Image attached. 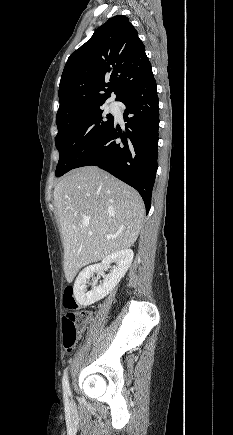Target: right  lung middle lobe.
<instances>
[{"label":"right lung middle lobe","instance_id":"dd1d6c3e","mask_svg":"<svg viewBox=\"0 0 233 435\" xmlns=\"http://www.w3.org/2000/svg\"><path fill=\"white\" fill-rule=\"evenodd\" d=\"M113 122L114 117L104 115L100 107L56 121L55 145L60 154L56 177L74 169L106 135Z\"/></svg>","mask_w":233,"mask_h":435}]
</instances>
